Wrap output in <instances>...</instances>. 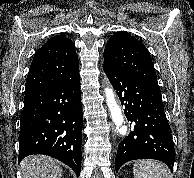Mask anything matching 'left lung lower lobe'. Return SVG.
<instances>
[{
  "label": "left lung lower lobe",
  "instance_id": "0a47b994",
  "mask_svg": "<svg viewBox=\"0 0 194 178\" xmlns=\"http://www.w3.org/2000/svg\"><path fill=\"white\" fill-rule=\"evenodd\" d=\"M104 71L125 107L133 130L118 147L116 171L126 162L155 159L173 169L175 149L158 84L126 75L106 64Z\"/></svg>",
  "mask_w": 194,
  "mask_h": 178
}]
</instances>
